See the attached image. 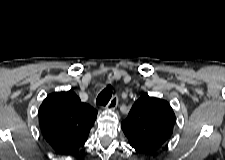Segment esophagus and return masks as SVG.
Instances as JSON below:
<instances>
[{
  "instance_id": "34e87169",
  "label": "esophagus",
  "mask_w": 225,
  "mask_h": 160,
  "mask_svg": "<svg viewBox=\"0 0 225 160\" xmlns=\"http://www.w3.org/2000/svg\"><path fill=\"white\" fill-rule=\"evenodd\" d=\"M117 104H118V97L117 95H114L111 98L110 102L108 103L107 109L114 110L117 107Z\"/></svg>"
}]
</instances>
